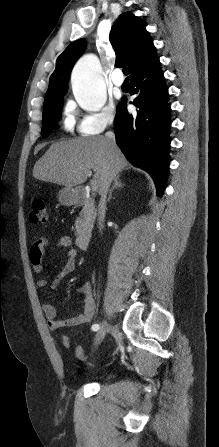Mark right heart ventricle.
<instances>
[{
  "mask_svg": "<svg viewBox=\"0 0 219 447\" xmlns=\"http://www.w3.org/2000/svg\"><path fill=\"white\" fill-rule=\"evenodd\" d=\"M75 126V117H74V110L71 108H67L65 111V118H64V128L67 131H72Z\"/></svg>",
  "mask_w": 219,
  "mask_h": 447,
  "instance_id": "1",
  "label": "right heart ventricle"
}]
</instances>
